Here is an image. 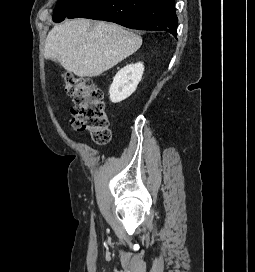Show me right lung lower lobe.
Returning <instances> with one entry per match:
<instances>
[{
    "label": "right lung lower lobe",
    "mask_w": 255,
    "mask_h": 272,
    "mask_svg": "<svg viewBox=\"0 0 255 272\" xmlns=\"http://www.w3.org/2000/svg\"><path fill=\"white\" fill-rule=\"evenodd\" d=\"M175 0H90L67 18L110 21L138 30H163L176 36Z\"/></svg>",
    "instance_id": "right-lung-lower-lobe-1"
}]
</instances>
